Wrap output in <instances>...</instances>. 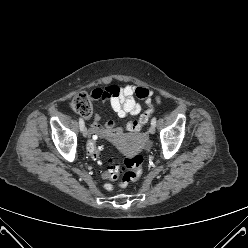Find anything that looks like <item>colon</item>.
Here are the masks:
<instances>
[{
  "mask_svg": "<svg viewBox=\"0 0 248 248\" xmlns=\"http://www.w3.org/2000/svg\"><path fill=\"white\" fill-rule=\"evenodd\" d=\"M106 88L104 90H106ZM111 90H116L118 92V88L115 85L111 86ZM100 91L101 90H95L92 95L80 94L76 96L71 102V109L82 117H89L93 111V100L100 98ZM152 114V109L147 110L138 118V120L128 123V130L132 132H139L148 122ZM85 149L93 160L98 163L102 162V147L95 138H88L85 141ZM142 165L143 156L139 153H135L126 157L123 166L121 167L113 164L107 165L103 171V177L109 180H117L120 178V187H126L140 177L142 173ZM106 188L111 190L113 187L111 185H106Z\"/></svg>",
  "mask_w": 248,
  "mask_h": 248,
  "instance_id": "colon-1",
  "label": "colon"
}]
</instances>
